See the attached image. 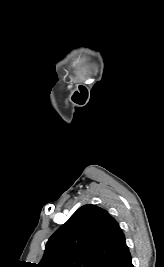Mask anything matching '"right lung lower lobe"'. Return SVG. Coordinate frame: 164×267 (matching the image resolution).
I'll use <instances>...</instances> for the list:
<instances>
[{
  "mask_svg": "<svg viewBox=\"0 0 164 267\" xmlns=\"http://www.w3.org/2000/svg\"><path fill=\"white\" fill-rule=\"evenodd\" d=\"M99 267H133L127 245L105 260Z\"/></svg>",
  "mask_w": 164,
  "mask_h": 267,
  "instance_id": "obj_1",
  "label": "right lung lower lobe"
}]
</instances>
